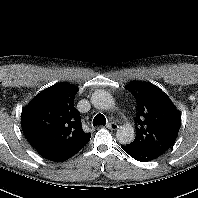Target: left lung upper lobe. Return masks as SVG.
<instances>
[{
    "mask_svg": "<svg viewBox=\"0 0 198 198\" xmlns=\"http://www.w3.org/2000/svg\"><path fill=\"white\" fill-rule=\"evenodd\" d=\"M125 88L138 104L136 137L129 145L149 152L165 153L178 136L180 112L167 95L151 83L132 81Z\"/></svg>",
    "mask_w": 198,
    "mask_h": 198,
    "instance_id": "obj_1",
    "label": "left lung upper lobe"
}]
</instances>
